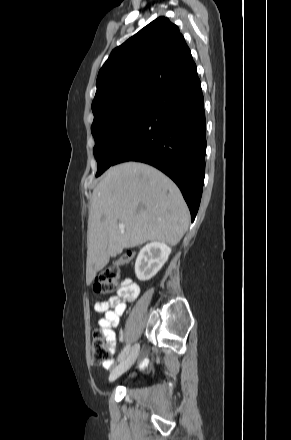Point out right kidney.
Wrapping results in <instances>:
<instances>
[{
    "mask_svg": "<svg viewBox=\"0 0 291 440\" xmlns=\"http://www.w3.org/2000/svg\"><path fill=\"white\" fill-rule=\"evenodd\" d=\"M171 253L165 243L154 241L146 244L139 252L135 262V274L141 281L151 279L162 268Z\"/></svg>",
    "mask_w": 291,
    "mask_h": 440,
    "instance_id": "right-kidney-1",
    "label": "right kidney"
}]
</instances>
